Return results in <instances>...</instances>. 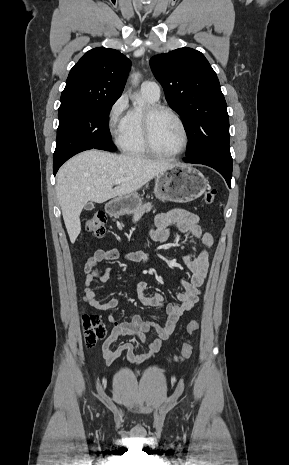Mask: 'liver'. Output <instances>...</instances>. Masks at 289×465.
<instances>
[{
	"mask_svg": "<svg viewBox=\"0 0 289 465\" xmlns=\"http://www.w3.org/2000/svg\"><path fill=\"white\" fill-rule=\"evenodd\" d=\"M172 165L98 150L68 160L57 173L56 194L71 243L81 232L80 214L88 201L103 203L132 194ZM118 179L123 182L113 188Z\"/></svg>",
	"mask_w": 289,
	"mask_h": 465,
	"instance_id": "1",
	"label": "liver"
}]
</instances>
